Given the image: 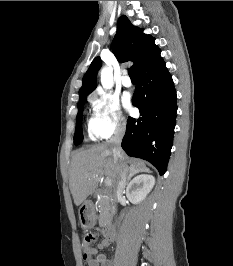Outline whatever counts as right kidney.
Returning <instances> with one entry per match:
<instances>
[{"instance_id":"1","label":"right kidney","mask_w":233,"mask_h":266,"mask_svg":"<svg viewBox=\"0 0 233 266\" xmlns=\"http://www.w3.org/2000/svg\"><path fill=\"white\" fill-rule=\"evenodd\" d=\"M155 185V178L152 175H140L135 177L126 189V195L132 203H140Z\"/></svg>"}]
</instances>
